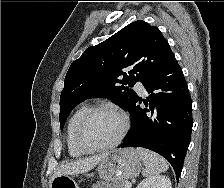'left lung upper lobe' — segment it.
Listing matches in <instances>:
<instances>
[{"mask_svg":"<svg viewBox=\"0 0 224 188\" xmlns=\"http://www.w3.org/2000/svg\"><path fill=\"white\" fill-rule=\"evenodd\" d=\"M173 57L160 30L142 20L89 47L66 74L60 97L61 128L71 110L90 97H108L130 112L137 98L130 87L143 83ZM125 68L127 73L122 72Z\"/></svg>","mask_w":224,"mask_h":188,"instance_id":"obj_1","label":"left lung upper lobe"}]
</instances>
